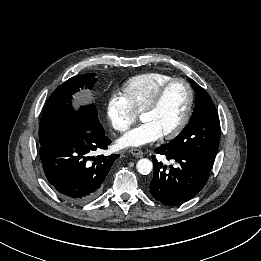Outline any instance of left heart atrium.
Segmentation results:
<instances>
[{"instance_id": "1", "label": "left heart atrium", "mask_w": 261, "mask_h": 261, "mask_svg": "<svg viewBox=\"0 0 261 261\" xmlns=\"http://www.w3.org/2000/svg\"><path fill=\"white\" fill-rule=\"evenodd\" d=\"M162 135L149 123H142L124 134L119 140L120 147H138L159 140Z\"/></svg>"}]
</instances>
